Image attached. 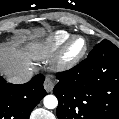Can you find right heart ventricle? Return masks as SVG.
<instances>
[{
    "label": "right heart ventricle",
    "instance_id": "1",
    "mask_svg": "<svg viewBox=\"0 0 119 119\" xmlns=\"http://www.w3.org/2000/svg\"><path fill=\"white\" fill-rule=\"evenodd\" d=\"M70 37V33L58 30L51 34L43 43L36 46L33 55L37 58H45L56 51Z\"/></svg>",
    "mask_w": 119,
    "mask_h": 119
}]
</instances>
